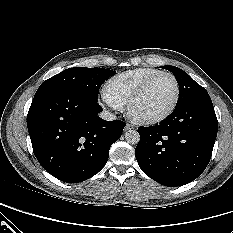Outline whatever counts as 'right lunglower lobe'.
I'll return each instance as SVG.
<instances>
[{
    "mask_svg": "<svg viewBox=\"0 0 233 233\" xmlns=\"http://www.w3.org/2000/svg\"><path fill=\"white\" fill-rule=\"evenodd\" d=\"M101 111L96 99L69 89L32 101L28 131L34 154L48 173L78 183L104 167L125 122L103 120L98 116Z\"/></svg>",
    "mask_w": 233,
    "mask_h": 233,
    "instance_id": "obj_1",
    "label": "right lung lower lobe"
}]
</instances>
